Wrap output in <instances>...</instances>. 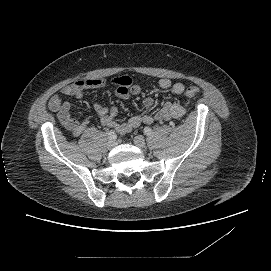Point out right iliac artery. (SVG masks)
I'll return each mask as SVG.
<instances>
[{"instance_id":"82829eb1","label":"right iliac artery","mask_w":271,"mask_h":271,"mask_svg":"<svg viewBox=\"0 0 271 271\" xmlns=\"http://www.w3.org/2000/svg\"><path fill=\"white\" fill-rule=\"evenodd\" d=\"M116 133L114 130H111L109 133H108V139L109 140H115L116 139Z\"/></svg>"}]
</instances>
